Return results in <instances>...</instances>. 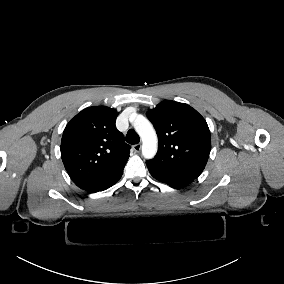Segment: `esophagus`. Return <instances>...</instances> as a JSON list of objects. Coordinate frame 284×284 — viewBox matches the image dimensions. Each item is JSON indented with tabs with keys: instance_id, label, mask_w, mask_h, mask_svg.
<instances>
[{
	"instance_id": "1",
	"label": "esophagus",
	"mask_w": 284,
	"mask_h": 284,
	"mask_svg": "<svg viewBox=\"0 0 284 284\" xmlns=\"http://www.w3.org/2000/svg\"><path fill=\"white\" fill-rule=\"evenodd\" d=\"M141 147H142L141 144H135V145H133V149H134L135 152H140Z\"/></svg>"
}]
</instances>
